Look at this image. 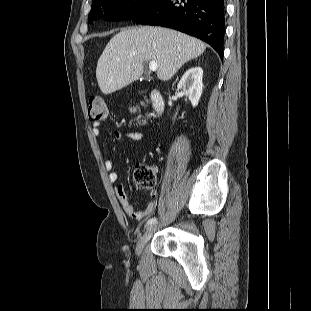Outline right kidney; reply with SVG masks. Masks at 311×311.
<instances>
[{
    "label": "right kidney",
    "instance_id": "obj_1",
    "mask_svg": "<svg viewBox=\"0 0 311 311\" xmlns=\"http://www.w3.org/2000/svg\"><path fill=\"white\" fill-rule=\"evenodd\" d=\"M203 70L201 67L188 69L178 83L177 88L183 90L193 107L198 105L203 90Z\"/></svg>",
    "mask_w": 311,
    "mask_h": 311
}]
</instances>
